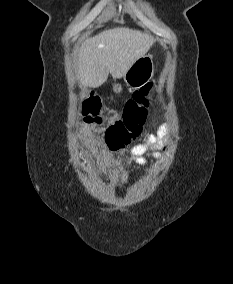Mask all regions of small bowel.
I'll return each instance as SVG.
<instances>
[{
    "instance_id": "obj_1",
    "label": "small bowel",
    "mask_w": 233,
    "mask_h": 284,
    "mask_svg": "<svg viewBox=\"0 0 233 284\" xmlns=\"http://www.w3.org/2000/svg\"><path fill=\"white\" fill-rule=\"evenodd\" d=\"M166 134V125H161L155 133L148 134L144 143L137 144L130 149V156L127 159V163L145 165L147 162V153H151L152 157L154 158H159L161 156L160 150L164 147ZM107 164L111 179L116 183L122 181L124 178L122 172V163L118 160L108 158Z\"/></svg>"
}]
</instances>
